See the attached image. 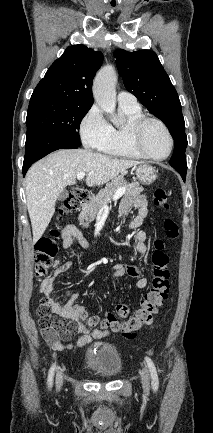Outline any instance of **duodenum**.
<instances>
[{
	"mask_svg": "<svg viewBox=\"0 0 213 433\" xmlns=\"http://www.w3.org/2000/svg\"><path fill=\"white\" fill-rule=\"evenodd\" d=\"M89 199H90V195H89V198L83 203V205H86L88 203Z\"/></svg>",
	"mask_w": 213,
	"mask_h": 433,
	"instance_id": "obj_1",
	"label": "duodenum"
}]
</instances>
